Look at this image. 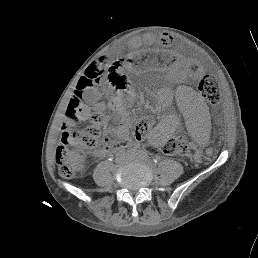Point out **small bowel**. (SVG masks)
Here are the masks:
<instances>
[{"instance_id": "small-bowel-1", "label": "small bowel", "mask_w": 258, "mask_h": 258, "mask_svg": "<svg viewBox=\"0 0 258 258\" xmlns=\"http://www.w3.org/2000/svg\"><path fill=\"white\" fill-rule=\"evenodd\" d=\"M140 44H141V39L136 38V39H134V40H132V41L130 42L129 47H130V48H137V47L140 46ZM88 113H89V111H88L87 109L82 110V113H81L82 119H86L87 116H88ZM152 139H153L154 141H157V140L160 139V136H159V135H155V136H153ZM93 154H94L95 156H99V157H100V156L105 155V151H104V150H96V151H94Z\"/></svg>"}]
</instances>
